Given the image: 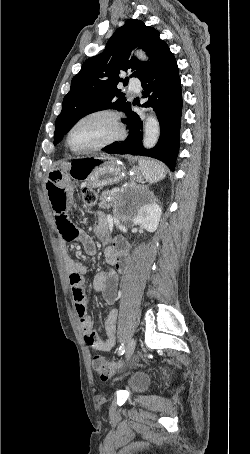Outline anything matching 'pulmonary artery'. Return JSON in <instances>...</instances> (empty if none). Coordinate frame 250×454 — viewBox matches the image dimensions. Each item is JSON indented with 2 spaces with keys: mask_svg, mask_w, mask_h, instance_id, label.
Segmentation results:
<instances>
[{
  "mask_svg": "<svg viewBox=\"0 0 250 454\" xmlns=\"http://www.w3.org/2000/svg\"><path fill=\"white\" fill-rule=\"evenodd\" d=\"M129 87L130 89L134 91H138L140 89V82L137 78H132L129 81Z\"/></svg>",
  "mask_w": 250,
  "mask_h": 454,
  "instance_id": "e3ab8cb5",
  "label": "pulmonary artery"
}]
</instances>
